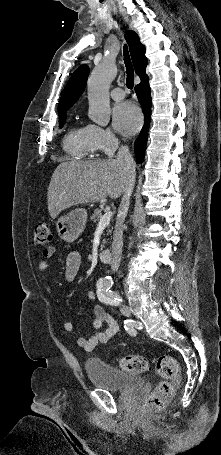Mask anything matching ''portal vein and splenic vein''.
<instances>
[{
	"instance_id": "18ae733b",
	"label": "portal vein and splenic vein",
	"mask_w": 221,
	"mask_h": 455,
	"mask_svg": "<svg viewBox=\"0 0 221 455\" xmlns=\"http://www.w3.org/2000/svg\"><path fill=\"white\" fill-rule=\"evenodd\" d=\"M111 217H112V212L111 211L106 212L100 218V220L98 222V227H106L110 223Z\"/></svg>"
}]
</instances>
